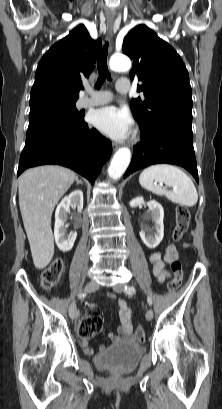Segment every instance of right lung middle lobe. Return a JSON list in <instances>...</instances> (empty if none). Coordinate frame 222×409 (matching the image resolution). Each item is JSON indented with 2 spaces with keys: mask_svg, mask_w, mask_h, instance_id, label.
<instances>
[{
  "mask_svg": "<svg viewBox=\"0 0 222 409\" xmlns=\"http://www.w3.org/2000/svg\"><path fill=\"white\" fill-rule=\"evenodd\" d=\"M84 119V114L79 112L73 102H51L30 108L28 131L47 122H72L77 123Z\"/></svg>",
  "mask_w": 222,
  "mask_h": 409,
  "instance_id": "dd1d6c3e",
  "label": "right lung middle lobe"
}]
</instances>
